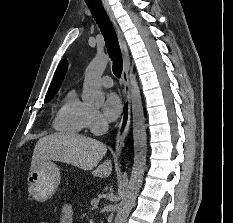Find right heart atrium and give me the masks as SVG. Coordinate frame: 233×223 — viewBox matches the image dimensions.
Masks as SVG:
<instances>
[{
	"mask_svg": "<svg viewBox=\"0 0 233 223\" xmlns=\"http://www.w3.org/2000/svg\"><path fill=\"white\" fill-rule=\"evenodd\" d=\"M86 127L94 134H102L107 130L108 124L99 111L89 109Z\"/></svg>",
	"mask_w": 233,
	"mask_h": 223,
	"instance_id": "obj_1",
	"label": "right heart atrium"
}]
</instances>
